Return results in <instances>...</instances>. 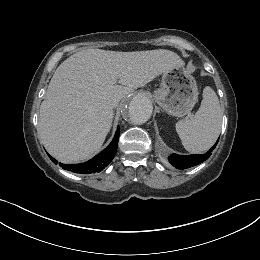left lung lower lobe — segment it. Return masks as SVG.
Instances as JSON below:
<instances>
[{
  "label": "left lung lower lobe",
  "instance_id": "1",
  "mask_svg": "<svg viewBox=\"0 0 260 260\" xmlns=\"http://www.w3.org/2000/svg\"><path fill=\"white\" fill-rule=\"evenodd\" d=\"M217 143H218V140L215 143V145L205 154L186 155V156L172 154L169 156L168 160L174 167H176L177 169H181V170L196 166L198 164H201L202 162H204L211 156V152L213 151V149L215 148Z\"/></svg>",
  "mask_w": 260,
  "mask_h": 260
}]
</instances>
